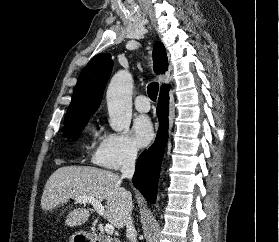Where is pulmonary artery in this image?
<instances>
[{
  "instance_id": "1",
  "label": "pulmonary artery",
  "mask_w": 279,
  "mask_h": 242,
  "mask_svg": "<svg viewBox=\"0 0 279 242\" xmlns=\"http://www.w3.org/2000/svg\"><path fill=\"white\" fill-rule=\"evenodd\" d=\"M135 108L141 113L148 112L150 110L149 99L144 95L137 96L135 99Z\"/></svg>"
}]
</instances>
